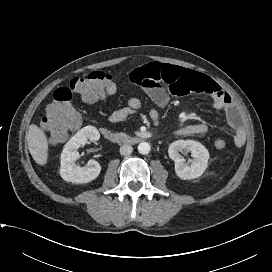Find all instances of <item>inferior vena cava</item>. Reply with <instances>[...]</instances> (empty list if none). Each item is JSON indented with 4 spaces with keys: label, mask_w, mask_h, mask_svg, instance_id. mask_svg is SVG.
<instances>
[{
    "label": "inferior vena cava",
    "mask_w": 272,
    "mask_h": 272,
    "mask_svg": "<svg viewBox=\"0 0 272 272\" xmlns=\"http://www.w3.org/2000/svg\"><path fill=\"white\" fill-rule=\"evenodd\" d=\"M133 151V147L129 144H124L120 147V154L121 155H129Z\"/></svg>",
    "instance_id": "obj_1"
}]
</instances>
